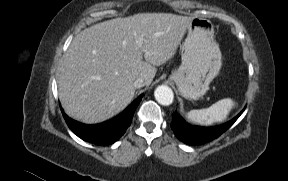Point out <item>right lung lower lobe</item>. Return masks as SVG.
Segmentation results:
<instances>
[{
  "label": "right lung lower lobe",
  "mask_w": 288,
  "mask_h": 181,
  "mask_svg": "<svg viewBox=\"0 0 288 181\" xmlns=\"http://www.w3.org/2000/svg\"><path fill=\"white\" fill-rule=\"evenodd\" d=\"M142 99L140 95L121 114L112 120L100 125H86L69 118L61 108L63 117L71 129L79 138L89 143L108 146L118 141L131 125L134 112Z\"/></svg>",
  "instance_id": "1"
}]
</instances>
